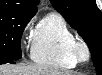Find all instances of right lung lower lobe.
<instances>
[{
    "instance_id": "right-lung-lower-lobe-1",
    "label": "right lung lower lobe",
    "mask_w": 102,
    "mask_h": 75,
    "mask_svg": "<svg viewBox=\"0 0 102 75\" xmlns=\"http://www.w3.org/2000/svg\"><path fill=\"white\" fill-rule=\"evenodd\" d=\"M6 63H12V64H14L15 62H14V60H1L0 61V64H6Z\"/></svg>"
}]
</instances>
